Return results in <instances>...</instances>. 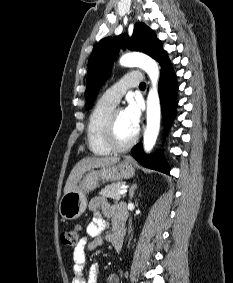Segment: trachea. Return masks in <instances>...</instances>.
I'll return each instance as SVG.
<instances>
[{
	"instance_id": "trachea-1",
	"label": "trachea",
	"mask_w": 233,
	"mask_h": 283,
	"mask_svg": "<svg viewBox=\"0 0 233 283\" xmlns=\"http://www.w3.org/2000/svg\"><path fill=\"white\" fill-rule=\"evenodd\" d=\"M139 87H140V89H145L146 84L143 82V83H141V84L139 85Z\"/></svg>"
}]
</instances>
